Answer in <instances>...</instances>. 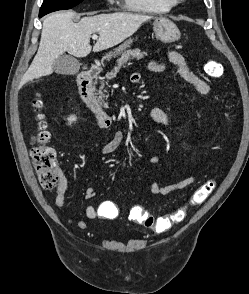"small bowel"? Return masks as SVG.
I'll use <instances>...</instances> for the list:
<instances>
[{"mask_svg":"<svg viewBox=\"0 0 249 294\" xmlns=\"http://www.w3.org/2000/svg\"><path fill=\"white\" fill-rule=\"evenodd\" d=\"M168 60L175 66L177 73L179 76L186 81L188 84L193 86L197 92L201 95H208L210 92V86L202 80L190 67L188 62L185 60V58L174 50H167L165 53ZM148 67L155 71L159 72L163 70L164 64L160 60L151 61L148 64ZM141 78V75L139 73H134L131 76L132 82H138ZM150 116L153 121L156 123L168 126L170 121L167 116V114L160 108H153L150 112ZM97 127L107 128L104 126V124L101 121H97ZM124 140V134L121 131H117L114 133L113 137L106 143L101 144L100 151L104 155H110L117 151L119 147L122 145ZM212 161L209 162L207 165V168L211 165ZM160 165V159L158 157H152L150 159V166L153 168H156ZM195 176H190L185 179L175 181L168 183L166 185H161L158 181L154 180L151 183L150 189L151 193L155 196H165L175 191H180L191 184H193L196 181ZM68 181L64 177V183L57 189L56 196H55V204L58 208H64L66 204V193L68 191ZM96 195V188L94 186H88L85 189L84 198L86 200L93 199ZM114 209L117 210L114 203L111 201H101L98 205H87L85 208V215L90 220H96V219H114L116 217H112L110 215V210ZM118 212V211H117ZM69 223L73 224L77 228L84 230L87 228V223L84 220L77 219L70 217Z\"/></svg>","mask_w":249,"mask_h":294,"instance_id":"obj_1","label":"small bowel"}]
</instances>
